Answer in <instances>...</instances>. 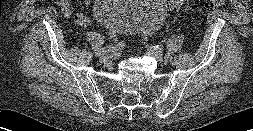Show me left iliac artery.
Masks as SVG:
<instances>
[{
	"mask_svg": "<svg viewBox=\"0 0 253 131\" xmlns=\"http://www.w3.org/2000/svg\"><path fill=\"white\" fill-rule=\"evenodd\" d=\"M155 47H156L157 50H162L163 49L162 45H156Z\"/></svg>",
	"mask_w": 253,
	"mask_h": 131,
	"instance_id": "obj_1",
	"label": "left iliac artery"
}]
</instances>
